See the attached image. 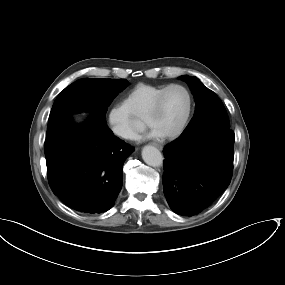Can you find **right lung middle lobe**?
Returning <instances> with one entry per match:
<instances>
[{"label": "right lung middle lobe", "instance_id": "obj_1", "mask_svg": "<svg viewBox=\"0 0 285 285\" xmlns=\"http://www.w3.org/2000/svg\"><path fill=\"white\" fill-rule=\"evenodd\" d=\"M128 84L125 79L84 78L75 81L57 96L49 116L47 137L81 110L90 111L106 122L108 106Z\"/></svg>", "mask_w": 285, "mask_h": 285}]
</instances>
